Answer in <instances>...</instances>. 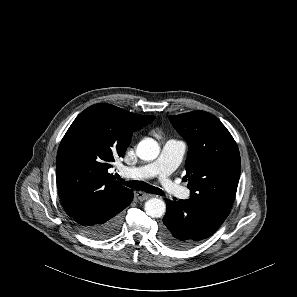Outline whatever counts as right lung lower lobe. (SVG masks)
<instances>
[{"label": "right lung lower lobe", "mask_w": 297, "mask_h": 297, "mask_svg": "<svg viewBox=\"0 0 297 297\" xmlns=\"http://www.w3.org/2000/svg\"><path fill=\"white\" fill-rule=\"evenodd\" d=\"M133 193L128 191L118 198L110 195L89 200L72 219L78 230L87 237L105 240L114 236L120 229L122 210L132 201Z\"/></svg>", "instance_id": "98d812e1"}]
</instances>
